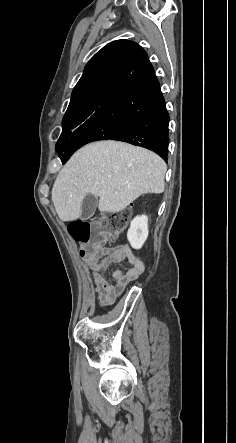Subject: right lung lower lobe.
I'll return each instance as SVG.
<instances>
[{
	"mask_svg": "<svg viewBox=\"0 0 236 443\" xmlns=\"http://www.w3.org/2000/svg\"><path fill=\"white\" fill-rule=\"evenodd\" d=\"M169 114L151 67L130 87L111 95L58 152L64 164L81 146L112 139L145 147L167 160Z\"/></svg>",
	"mask_w": 236,
	"mask_h": 443,
	"instance_id": "98d812e1",
	"label": "right lung lower lobe"
}]
</instances>
